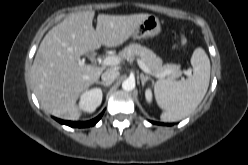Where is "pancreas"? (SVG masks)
Here are the masks:
<instances>
[{
    "instance_id": "obj_1",
    "label": "pancreas",
    "mask_w": 248,
    "mask_h": 165,
    "mask_svg": "<svg viewBox=\"0 0 248 165\" xmlns=\"http://www.w3.org/2000/svg\"><path fill=\"white\" fill-rule=\"evenodd\" d=\"M119 56L124 59H131L133 56H139L145 65L150 69L151 73L158 78L176 79L182 74L179 64H164L161 58L156 54L141 46L140 44H130L126 46Z\"/></svg>"
}]
</instances>
